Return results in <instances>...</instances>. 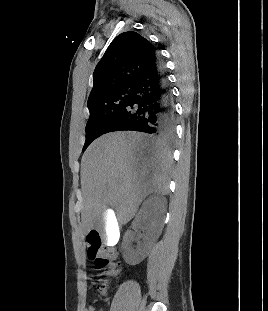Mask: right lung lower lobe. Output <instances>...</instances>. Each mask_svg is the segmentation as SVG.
Returning a JSON list of instances; mask_svg holds the SVG:
<instances>
[{"instance_id":"1","label":"right lung lower lobe","mask_w":268,"mask_h":311,"mask_svg":"<svg viewBox=\"0 0 268 311\" xmlns=\"http://www.w3.org/2000/svg\"><path fill=\"white\" fill-rule=\"evenodd\" d=\"M176 112L165 69L159 56L133 85V95L108 132L139 131L172 141Z\"/></svg>"}]
</instances>
